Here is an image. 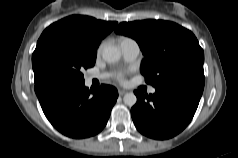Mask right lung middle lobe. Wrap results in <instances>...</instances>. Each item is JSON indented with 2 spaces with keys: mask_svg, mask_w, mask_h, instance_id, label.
<instances>
[{
  "mask_svg": "<svg viewBox=\"0 0 238 158\" xmlns=\"http://www.w3.org/2000/svg\"><path fill=\"white\" fill-rule=\"evenodd\" d=\"M96 47L82 37L46 28L32 55L34 76L53 73L84 82L82 71L94 66Z\"/></svg>",
  "mask_w": 238,
  "mask_h": 158,
  "instance_id": "obj_1",
  "label": "right lung middle lobe"
}]
</instances>
